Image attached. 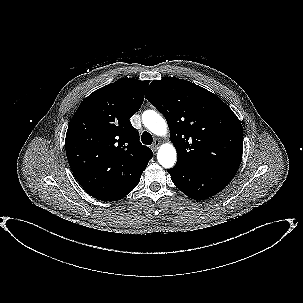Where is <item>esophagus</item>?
Here are the masks:
<instances>
[{
    "instance_id": "34e87169",
    "label": "esophagus",
    "mask_w": 303,
    "mask_h": 303,
    "mask_svg": "<svg viewBox=\"0 0 303 303\" xmlns=\"http://www.w3.org/2000/svg\"><path fill=\"white\" fill-rule=\"evenodd\" d=\"M160 143H161V141L159 139H156L154 141V143L151 146V149H152L153 152L157 151V149L159 148Z\"/></svg>"
}]
</instances>
